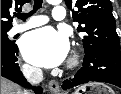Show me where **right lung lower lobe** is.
Here are the masks:
<instances>
[{
    "label": "right lung lower lobe",
    "instance_id": "1",
    "mask_svg": "<svg viewBox=\"0 0 121 94\" xmlns=\"http://www.w3.org/2000/svg\"><path fill=\"white\" fill-rule=\"evenodd\" d=\"M18 47L15 43L12 45H1V76L18 83L24 87H29L28 82L23 77L17 61ZM37 94L42 93L41 87L34 88Z\"/></svg>",
    "mask_w": 121,
    "mask_h": 94
}]
</instances>
